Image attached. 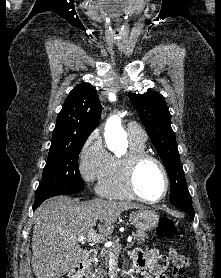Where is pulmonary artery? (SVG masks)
<instances>
[{
	"label": "pulmonary artery",
	"mask_w": 221,
	"mask_h": 278,
	"mask_svg": "<svg viewBox=\"0 0 221 278\" xmlns=\"http://www.w3.org/2000/svg\"><path fill=\"white\" fill-rule=\"evenodd\" d=\"M127 132L131 138L139 139V140H146V134L141 129V127L135 123H129L127 125Z\"/></svg>",
	"instance_id": "e3ab8cb5"
}]
</instances>
